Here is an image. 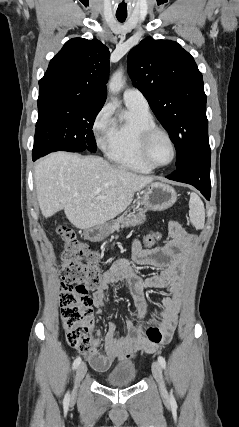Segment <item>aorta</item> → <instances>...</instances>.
Segmentation results:
<instances>
[{"instance_id":"762f6f07","label":"aorta","mask_w":239,"mask_h":427,"mask_svg":"<svg viewBox=\"0 0 239 427\" xmlns=\"http://www.w3.org/2000/svg\"><path fill=\"white\" fill-rule=\"evenodd\" d=\"M124 85L123 80V71L119 70L114 73L110 82H109V90L112 93H118Z\"/></svg>"}]
</instances>
